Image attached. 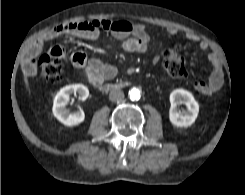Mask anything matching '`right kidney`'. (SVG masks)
<instances>
[{
	"label": "right kidney",
	"mask_w": 245,
	"mask_h": 195,
	"mask_svg": "<svg viewBox=\"0 0 245 195\" xmlns=\"http://www.w3.org/2000/svg\"><path fill=\"white\" fill-rule=\"evenodd\" d=\"M78 94L79 99L85 101L89 96V90L86 86L82 84L67 85L60 89L56 94L53 102V114L54 116L66 126H75L82 123L85 119V114L83 110L76 112H70L65 108L70 96Z\"/></svg>",
	"instance_id": "ca27d5eb"
}]
</instances>
